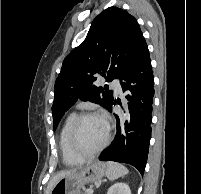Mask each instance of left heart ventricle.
<instances>
[{
  "label": "left heart ventricle",
  "mask_w": 201,
  "mask_h": 194,
  "mask_svg": "<svg viewBox=\"0 0 201 194\" xmlns=\"http://www.w3.org/2000/svg\"><path fill=\"white\" fill-rule=\"evenodd\" d=\"M107 128L99 117L85 119L79 129L78 142L84 151H93L104 141Z\"/></svg>",
  "instance_id": "left-heart-ventricle-1"
}]
</instances>
